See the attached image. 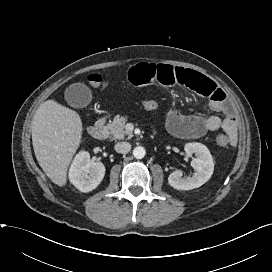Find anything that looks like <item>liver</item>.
<instances>
[{"instance_id":"liver-1","label":"liver","mask_w":272,"mask_h":272,"mask_svg":"<svg viewBox=\"0 0 272 272\" xmlns=\"http://www.w3.org/2000/svg\"><path fill=\"white\" fill-rule=\"evenodd\" d=\"M82 121L79 114L53 99L42 103L32 120V143L36 159L58 186L67 183L69 164L80 146Z\"/></svg>"}]
</instances>
